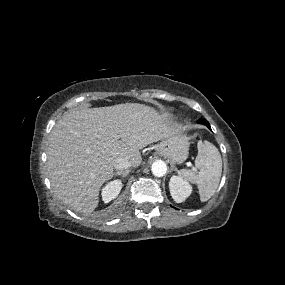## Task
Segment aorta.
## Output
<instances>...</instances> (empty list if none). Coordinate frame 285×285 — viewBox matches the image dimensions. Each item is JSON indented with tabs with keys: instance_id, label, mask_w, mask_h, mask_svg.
<instances>
[{
	"instance_id": "1",
	"label": "aorta",
	"mask_w": 285,
	"mask_h": 285,
	"mask_svg": "<svg viewBox=\"0 0 285 285\" xmlns=\"http://www.w3.org/2000/svg\"><path fill=\"white\" fill-rule=\"evenodd\" d=\"M151 170L154 176L162 177L167 172V166L163 161L158 160L152 164Z\"/></svg>"
}]
</instances>
